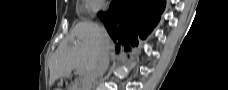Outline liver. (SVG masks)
<instances>
[{"mask_svg":"<svg viewBox=\"0 0 228 90\" xmlns=\"http://www.w3.org/2000/svg\"><path fill=\"white\" fill-rule=\"evenodd\" d=\"M69 40L75 41L74 45L69 47ZM103 42L109 50L110 38L108 35L103 37L98 24L91 21L78 22L50 61L49 84L52 86L62 76L69 78L72 70L76 68L84 71L85 80L103 47Z\"/></svg>","mask_w":228,"mask_h":90,"instance_id":"obj_1","label":"liver"}]
</instances>
